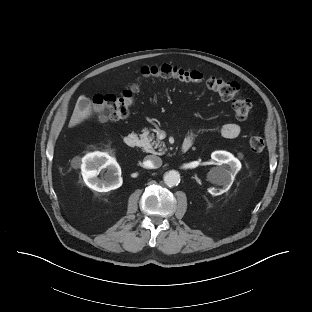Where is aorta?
Instances as JSON below:
<instances>
[{"instance_id":"aorta-1","label":"aorta","mask_w":312,"mask_h":312,"mask_svg":"<svg viewBox=\"0 0 312 312\" xmlns=\"http://www.w3.org/2000/svg\"><path fill=\"white\" fill-rule=\"evenodd\" d=\"M164 182L167 186L173 187L180 183V174L175 170H170L164 174Z\"/></svg>"}]
</instances>
